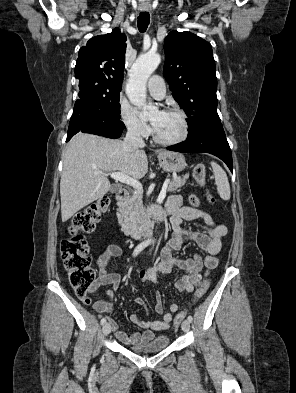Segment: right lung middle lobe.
<instances>
[{"instance_id": "right-lung-middle-lobe-1", "label": "right lung middle lobe", "mask_w": 296, "mask_h": 393, "mask_svg": "<svg viewBox=\"0 0 296 393\" xmlns=\"http://www.w3.org/2000/svg\"><path fill=\"white\" fill-rule=\"evenodd\" d=\"M79 100L93 104L120 119L119 93L121 90L110 88L95 80L79 82Z\"/></svg>"}]
</instances>
